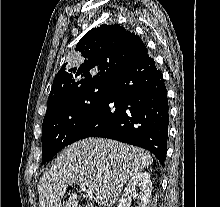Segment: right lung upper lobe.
Returning <instances> with one entry per match:
<instances>
[{
  "label": "right lung upper lobe",
  "mask_w": 220,
  "mask_h": 207,
  "mask_svg": "<svg viewBox=\"0 0 220 207\" xmlns=\"http://www.w3.org/2000/svg\"><path fill=\"white\" fill-rule=\"evenodd\" d=\"M84 62L70 67L63 64L56 74L48 103L57 97L88 85L108 83L131 63L147 54L136 34L119 24H104L87 32L76 45ZM97 70L92 76L90 70Z\"/></svg>",
  "instance_id": "cb5924a9"
}]
</instances>
